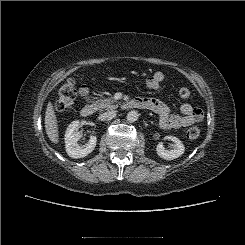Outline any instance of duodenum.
<instances>
[{
  "mask_svg": "<svg viewBox=\"0 0 245 245\" xmlns=\"http://www.w3.org/2000/svg\"><path fill=\"white\" fill-rule=\"evenodd\" d=\"M146 108L145 104L142 101L138 100H131L123 103L122 108L123 109H134V108ZM96 111V107L92 104H86L82 107L80 113L83 117H90L92 116Z\"/></svg>",
  "mask_w": 245,
  "mask_h": 245,
  "instance_id": "1",
  "label": "duodenum"
}]
</instances>
